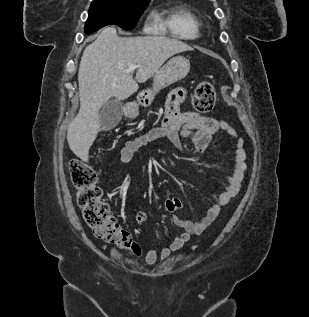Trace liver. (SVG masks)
Here are the masks:
<instances>
[{"mask_svg":"<svg viewBox=\"0 0 309 317\" xmlns=\"http://www.w3.org/2000/svg\"><path fill=\"white\" fill-rule=\"evenodd\" d=\"M192 47L164 36L119 37L114 27L101 31L81 57L78 71L80 109L70 123L67 141L70 149L87 162L89 149L100 131V110L112 97L124 100L154 76L163 63ZM131 64L137 65L136 80Z\"/></svg>","mask_w":309,"mask_h":317,"instance_id":"6515ba94","label":"liver"}]
</instances>
